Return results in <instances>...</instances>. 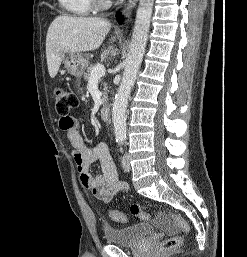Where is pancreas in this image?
Here are the masks:
<instances>
[{"label": "pancreas", "mask_w": 247, "mask_h": 257, "mask_svg": "<svg viewBox=\"0 0 247 257\" xmlns=\"http://www.w3.org/2000/svg\"><path fill=\"white\" fill-rule=\"evenodd\" d=\"M95 66L94 65H90V67L87 68V71L84 73V80H89L90 78V75H91V72L93 70ZM107 95H108V89H107V84L104 83V88H103V91H102V101L103 102H106L107 101Z\"/></svg>", "instance_id": "pancreas-1"}]
</instances>
